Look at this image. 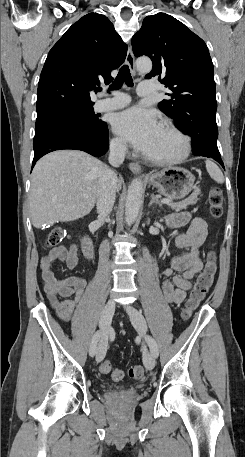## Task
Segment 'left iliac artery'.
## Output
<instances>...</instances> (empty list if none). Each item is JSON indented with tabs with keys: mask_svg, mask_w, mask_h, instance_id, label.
Here are the masks:
<instances>
[{
	"mask_svg": "<svg viewBox=\"0 0 245 457\" xmlns=\"http://www.w3.org/2000/svg\"><path fill=\"white\" fill-rule=\"evenodd\" d=\"M147 343L150 347L151 353L156 357L158 356L159 350L156 341L151 337L147 336Z\"/></svg>",
	"mask_w": 245,
	"mask_h": 457,
	"instance_id": "1",
	"label": "left iliac artery"
}]
</instances>
